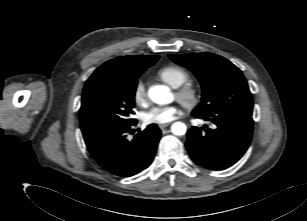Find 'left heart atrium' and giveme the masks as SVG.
I'll list each match as a JSON object with an SVG mask.
<instances>
[{"mask_svg":"<svg viewBox=\"0 0 307 221\" xmlns=\"http://www.w3.org/2000/svg\"><path fill=\"white\" fill-rule=\"evenodd\" d=\"M179 113L177 105L154 107L144 115L147 124H165L173 121Z\"/></svg>","mask_w":307,"mask_h":221,"instance_id":"1","label":"left heart atrium"}]
</instances>
